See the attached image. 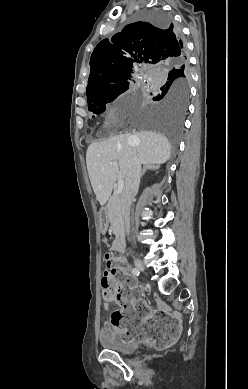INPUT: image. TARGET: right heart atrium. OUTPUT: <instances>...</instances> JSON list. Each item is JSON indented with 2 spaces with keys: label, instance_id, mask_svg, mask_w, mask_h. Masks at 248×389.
I'll return each instance as SVG.
<instances>
[{
  "label": "right heart atrium",
  "instance_id": "right-heart-atrium-1",
  "mask_svg": "<svg viewBox=\"0 0 248 389\" xmlns=\"http://www.w3.org/2000/svg\"><path fill=\"white\" fill-rule=\"evenodd\" d=\"M102 115L108 124H115L118 119V101L114 99L107 102L103 108Z\"/></svg>",
  "mask_w": 248,
  "mask_h": 389
}]
</instances>
